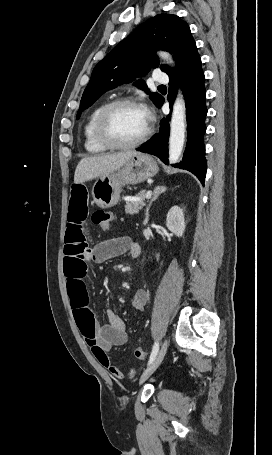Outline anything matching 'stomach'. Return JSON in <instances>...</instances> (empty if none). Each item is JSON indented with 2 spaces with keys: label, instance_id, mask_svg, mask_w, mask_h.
Segmentation results:
<instances>
[{
  "label": "stomach",
  "instance_id": "stomach-1",
  "mask_svg": "<svg viewBox=\"0 0 272 455\" xmlns=\"http://www.w3.org/2000/svg\"><path fill=\"white\" fill-rule=\"evenodd\" d=\"M157 172L158 165L152 156L142 153L134 155L117 170L96 180L92 188L93 201L103 209L115 206L124 185L140 183Z\"/></svg>",
  "mask_w": 272,
  "mask_h": 455
}]
</instances>
